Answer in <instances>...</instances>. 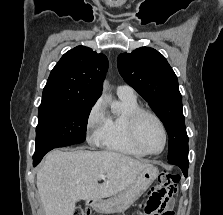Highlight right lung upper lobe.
Wrapping results in <instances>:
<instances>
[{"label": "right lung upper lobe", "instance_id": "1", "mask_svg": "<svg viewBox=\"0 0 223 215\" xmlns=\"http://www.w3.org/2000/svg\"><path fill=\"white\" fill-rule=\"evenodd\" d=\"M108 59L85 46L66 52L52 69L42 99L76 103H95L101 95V82Z\"/></svg>", "mask_w": 223, "mask_h": 215}]
</instances>
